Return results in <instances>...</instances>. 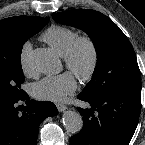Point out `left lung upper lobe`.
Listing matches in <instances>:
<instances>
[{"instance_id": "1", "label": "left lung upper lobe", "mask_w": 145, "mask_h": 145, "mask_svg": "<svg viewBox=\"0 0 145 145\" xmlns=\"http://www.w3.org/2000/svg\"><path fill=\"white\" fill-rule=\"evenodd\" d=\"M61 24L86 32L94 43L97 64L82 93L102 96L119 90L141 88V73L134 49L121 29L104 14L73 9L52 14Z\"/></svg>"}]
</instances>
